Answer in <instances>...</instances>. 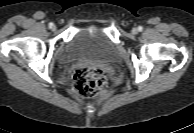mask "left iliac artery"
<instances>
[{
    "instance_id": "left-iliac-artery-1",
    "label": "left iliac artery",
    "mask_w": 194,
    "mask_h": 133,
    "mask_svg": "<svg viewBox=\"0 0 194 133\" xmlns=\"http://www.w3.org/2000/svg\"><path fill=\"white\" fill-rule=\"evenodd\" d=\"M138 30H139V31H142V30H143V27H142V26H139V27H138Z\"/></svg>"
}]
</instances>
